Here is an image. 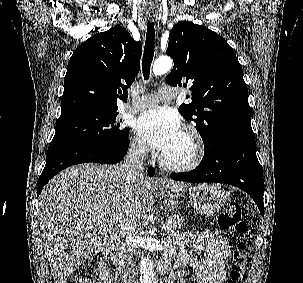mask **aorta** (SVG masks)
Returning <instances> with one entry per match:
<instances>
[{"instance_id":"1","label":"aorta","mask_w":303,"mask_h":283,"mask_svg":"<svg viewBox=\"0 0 303 283\" xmlns=\"http://www.w3.org/2000/svg\"><path fill=\"white\" fill-rule=\"evenodd\" d=\"M172 67L170 57H160L153 65V73L157 76L167 73ZM140 283H157L151 259L143 257L140 262Z\"/></svg>"}]
</instances>
